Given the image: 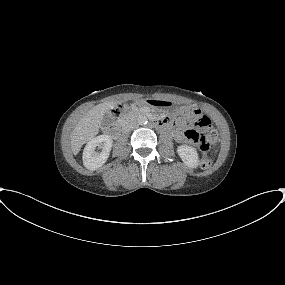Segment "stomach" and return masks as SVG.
Masks as SVG:
<instances>
[{"mask_svg": "<svg viewBox=\"0 0 285 285\" xmlns=\"http://www.w3.org/2000/svg\"><path fill=\"white\" fill-rule=\"evenodd\" d=\"M139 104L142 106H147L151 110L158 112H171L179 108V103L177 102L155 98L142 99L139 101Z\"/></svg>", "mask_w": 285, "mask_h": 285, "instance_id": "stomach-1", "label": "stomach"}]
</instances>
